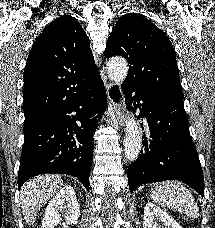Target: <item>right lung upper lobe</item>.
Instances as JSON below:
<instances>
[{"label": "right lung upper lobe", "mask_w": 215, "mask_h": 228, "mask_svg": "<svg viewBox=\"0 0 215 228\" xmlns=\"http://www.w3.org/2000/svg\"><path fill=\"white\" fill-rule=\"evenodd\" d=\"M99 74L90 40L70 15L52 21L34 42L24 71V125L68 102L75 90Z\"/></svg>", "instance_id": "cb5924a9"}]
</instances>
